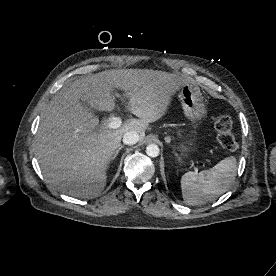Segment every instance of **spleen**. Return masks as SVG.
<instances>
[{"label": "spleen", "mask_w": 276, "mask_h": 276, "mask_svg": "<svg viewBox=\"0 0 276 276\" xmlns=\"http://www.w3.org/2000/svg\"><path fill=\"white\" fill-rule=\"evenodd\" d=\"M236 171V159L228 157L211 169L200 173L192 171L185 173L181 178L184 202L189 205H201L218 198L229 189Z\"/></svg>", "instance_id": "obj_1"}]
</instances>
